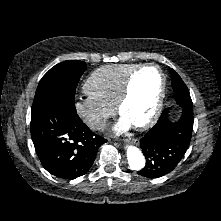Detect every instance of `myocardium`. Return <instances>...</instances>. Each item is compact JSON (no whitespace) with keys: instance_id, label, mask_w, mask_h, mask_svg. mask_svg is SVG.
I'll return each mask as SVG.
<instances>
[{"instance_id":"obj_1","label":"myocardium","mask_w":221,"mask_h":221,"mask_svg":"<svg viewBox=\"0 0 221 221\" xmlns=\"http://www.w3.org/2000/svg\"><path fill=\"white\" fill-rule=\"evenodd\" d=\"M146 68H156L158 70L161 76V88H160L158 99H157L152 115L145 122L138 124V125H134V127L137 130H145L147 128H150L157 122L158 118L161 115L163 105H164L165 95H166V88H167V77L163 69L158 64H155V63H146V64H142L138 66L128 75L124 83L120 97L115 105L116 112L121 115V110L123 106L127 103V101L129 100L131 96L132 83H133L135 76Z\"/></svg>"}]
</instances>
